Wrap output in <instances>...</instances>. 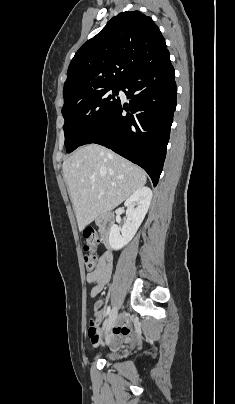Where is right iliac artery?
I'll return each instance as SVG.
<instances>
[{"label": "right iliac artery", "mask_w": 235, "mask_h": 404, "mask_svg": "<svg viewBox=\"0 0 235 404\" xmlns=\"http://www.w3.org/2000/svg\"><path fill=\"white\" fill-rule=\"evenodd\" d=\"M113 310L111 311V308H110V306H108V308H107V316L110 318L113 314Z\"/></svg>", "instance_id": "right-iliac-artery-1"}]
</instances>
